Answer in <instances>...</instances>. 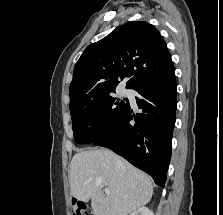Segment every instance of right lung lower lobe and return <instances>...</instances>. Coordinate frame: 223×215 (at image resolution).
Wrapping results in <instances>:
<instances>
[{
	"label": "right lung lower lobe",
	"instance_id": "98d812e1",
	"mask_svg": "<svg viewBox=\"0 0 223 215\" xmlns=\"http://www.w3.org/2000/svg\"><path fill=\"white\" fill-rule=\"evenodd\" d=\"M175 71L166 77L139 85L134 90L142 113L132 115L130 104L121 120L103 137L93 142L123 156L148 173L164 187L171 159L172 131L175 124ZM135 120L131 125L130 120Z\"/></svg>",
	"mask_w": 223,
	"mask_h": 215
}]
</instances>
